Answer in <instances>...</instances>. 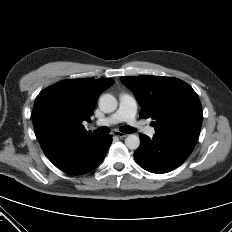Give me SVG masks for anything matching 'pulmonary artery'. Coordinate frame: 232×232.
Listing matches in <instances>:
<instances>
[{"instance_id":"pulmonary-artery-1","label":"pulmonary artery","mask_w":232,"mask_h":232,"mask_svg":"<svg viewBox=\"0 0 232 232\" xmlns=\"http://www.w3.org/2000/svg\"><path fill=\"white\" fill-rule=\"evenodd\" d=\"M137 111L138 104L136 99L129 94L123 93L119 97V107L117 111L108 117L97 120L95 124L97 126H110L126 122L130 126L141 130L148 136H153L155 134V129L141 125L137 121Z\"/></svg>"}]
</instances>
